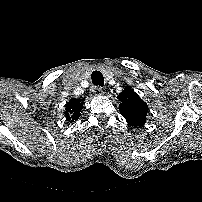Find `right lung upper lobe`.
<instances>
[{"label":"right lung upper lobe","mask_w":202,"mask_h":202,"mask_svg":"<svg viewBox=\"0 0 202 202\" xmlns=\"http://www.w3.org/2000/svg\"><path fill=\"white\" fill-rule=\"evenodd\" d=\"M83 105L81 102V99H71L67 104H66V119L70 123L76 121L80 116V111L82 110Z\"/></svg>","instance_id":"obj_1"}]
</instances>
